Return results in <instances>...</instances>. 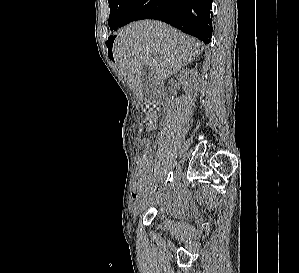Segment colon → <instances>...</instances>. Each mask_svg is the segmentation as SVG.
Listing matches in <instances>:
<instances>
[{"label":"colon","instance_id":"1","mask_svg":"<svg viewBox=\"0 0 299 273\" xmlns=\"http://www.w3.org/2000/svg\"><path fill=\"white\" fill-rule=\"evenodd\" d=\"M142 150H151V141L148 138H144L141 141Z\"/></svg>","mask_w":299,"mask_h":273}]
</instances>
